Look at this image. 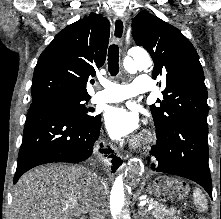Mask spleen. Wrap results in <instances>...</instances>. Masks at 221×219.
I'll return each mask as SVG.
<instances>
[{"instance_id": "spleen-1", "label": "spleen", "mask_w": 221, "mask_h": 219, "mask_svg": "<svg viewBox=\"0 0 221 219\" xmlns=\"http://www.w3.org/2000/svg\"><path fill=\"white\" fill-rule=\"evenodd\" d=\"M194 203L198 206L200 211H205L207 209V202L205 196L200 190H195L193 193Z\"/></svg>"}]
</instances>
